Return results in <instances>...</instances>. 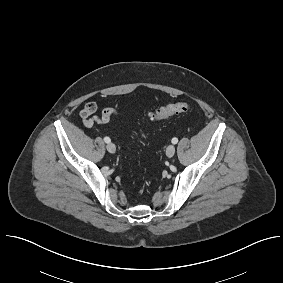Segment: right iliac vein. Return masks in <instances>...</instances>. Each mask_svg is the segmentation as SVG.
<instances>
[{"instance_id": "63e3f726", "label": "right iliac vein", "mask_w": 283, "mask_h": 283, "mask_svg": "<svg viewBox=\"0 0 283 283\" xmlns=\"http://www.w3.org/2000/svg\"><path fill=\"white\" fill-rule=\"evenodd\" d=\"M106 148H107L108 152H110V153H115V151H116V147L113 143H108Z\"/></svg>"}]
</instances>
